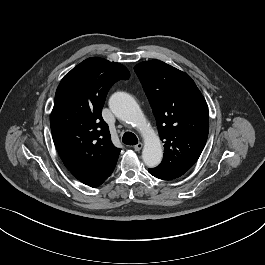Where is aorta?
Here are the masks:
<instances>
[{"mask_svg":"<svg viewBox=\"0 0 265 265\" xmlns=\"http://www.w3.org/2000/svg\"><path fill=\"white\" fill-rule=\"evenodd\" d=\"M109 107L117 118L138 128L144 139L142 151L144 163L150 168L158 166L163 157L160 139L148 124L135 99L126 92H115L109 99Z\"/></svg>","mask_w":265,"mask_h":265,"instance_id":"aorta-1","label":"aorta"}]
</instances>
